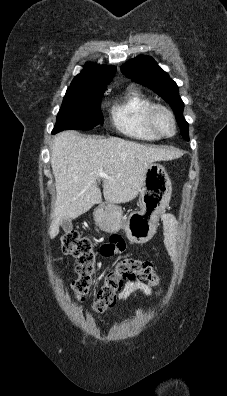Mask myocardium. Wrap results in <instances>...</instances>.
I'll use <instances>...</instances> for the list:
<instances>
[{
    "mask_svg": "<svg viewBox=\"0 0 227 396\" xmlns=\"http://www.w3.org/2000/svg\"><path fill=\"white\" fill-rule=\"evenodd\" d=\"M159 112H165L170 117V119L172 121V127H173V131L171 134L163 133L159 129V127L156 123V116ZM146 118H147V123H148L149 127L158 136L163 137V138H170L176 134V131H177L176 117H175L174 113L172 112V110L169 107H167L166 105L161 104V103H153L148 109Z\"/></svg>",
    "mask_w": 227,
    "mask_h": 396,
    "instance_id": "1",
    "label": "myocardium"
}]
</instances>
